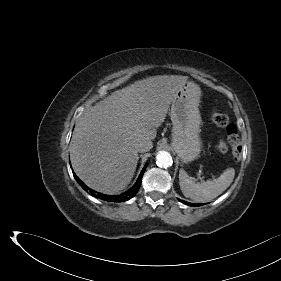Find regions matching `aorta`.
Segmentation results:
<instances>
[{
    "instance_id": "aorta-1",
    "label": "aorta",
    "mask_w": 281,
    "mask_h": 281,
    "mask_svg": "<svg viewBox=\"0 0 281 281\" xmlns=\"http://www.w3.org/2000/svg\"><path fill=\"white\" fill-rule=\"evenodd\" d=\"M172 157L166 151H160L156 156V164L159 167L167 168L172 165Z\"/></svg>"
}]
</instances>
